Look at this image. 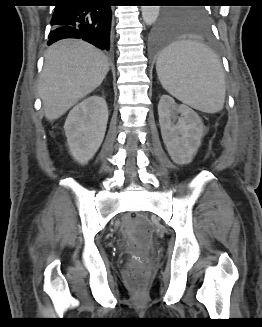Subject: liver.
Wrapping results in <instances>:
<instances>
[{
  "mask_svg": "<svg viewBox=\"0 0 262 327\" xmlns=\"http://www.w3.org/2000/svg\"><path fill=\"white\" fill-rule=\"evenodd\" d=\"M108 71L107 57L92 45L76 39L54 43L45 54L38 87L46 119L60 118L95 90Z\"/></svg>",
  "mask_w": 262,
  "mask_h": 327,
  "instance_id": "6515ba94",
  "label": "liver"
}]
</instances>
